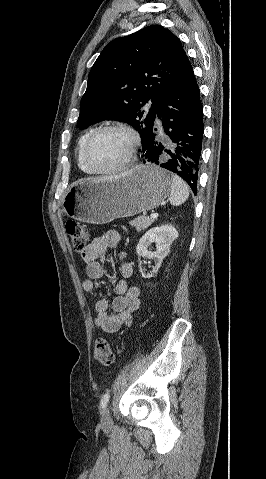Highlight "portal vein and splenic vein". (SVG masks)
<instances>
[{"label": "portal vein and splenic vein", "instance_id": "obj_1", "mask_svg": "<svg viewBox=\"0 0 266 479\" xmlns=\"http://www.w3.org/2000/svg\"><path fill=\"white\" fill-rule=\"evenodd\" d=\"M157 217H158V213H152V214L150 215V218H152V219H155V218H157Z\"/></svg>", "mask_w": 266, "mask_h": 479}]
</instances>
